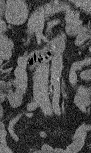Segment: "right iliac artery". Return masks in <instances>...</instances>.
Masks as SVG:
<instances>
[{
	"mask_svg": "<svg viewBox=\"0 0 91 153\" xmlns=\"http://www.w3.org/2000/svg\"><path fill=\"white\" fill-rule=\"evenodd\" d=\"M37 107H38V105L35 102H31L30 104H28L27 110L30 112V111L36 109Z\"/></svg>",
	"mask_w": 91,
	"mask_h": 153,
	"instance_id": "right-iliac-artery-1",
	"label": "right iliac artery"
}]
</instances>
